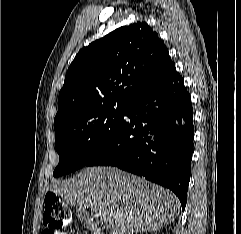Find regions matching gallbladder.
Returning <instances> with one entry per match:
<instances>
[{"mask_svg":"<svg viewBox=\"0 0 241 234\" xmlns=\"http://www.w3.org/2000/svg\"><path fill=\"white\" fill-rule=\"evenodd\" d=\"M78 218L87 225V227H91V220L88 213H86L84 210L77 211Z\"/></svg>","mask_w":241,"mask_h":234,"instance_id":"obj_1","label":"gallbladder"}]
</instances>
